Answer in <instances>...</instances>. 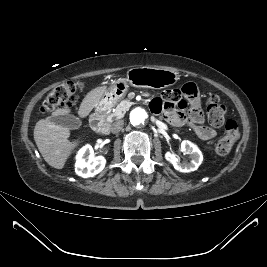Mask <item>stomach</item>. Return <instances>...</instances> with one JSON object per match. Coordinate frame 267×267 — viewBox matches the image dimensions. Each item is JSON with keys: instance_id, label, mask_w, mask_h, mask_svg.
Returning a JSON list of instances; mask_svg holds the SVG:
<instances>
[{"instance_id": "1", "label": "stomach", "mask_w": 267, "mask_h": 267, "mask_svg": "<svg viewBox=\"0 0 267 267\" xmlns=\"http://www.w3.org/2000/svg\"><path fill=\"white\" fill-rule=\"evenodd\" d=\"M179 78V73L171 70L145 66L133 67L127 71L126 78L115 79L105 90L95 105V111L102 113L111 109L126 95L130 86L162 89L174 85Z\"/></svg>"}]
</instances>
